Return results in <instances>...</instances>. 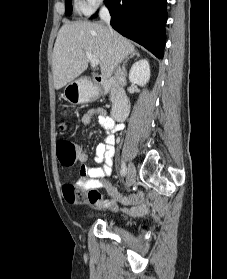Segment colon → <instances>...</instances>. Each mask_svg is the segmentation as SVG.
I'll list each match as a JSON object with an SVG mask.
<instances>
[{"instance_id": "5ec220e1", "label": "colon", "mask_w": 227, "mask_h": 279, "mask_svg": "<svg viewBox=\"0 0 227 279\" xmlns=\"http://www.w3.org/2000/svg\"><path fill=\"white\" fill-rule=\"evenodd\" d=\"M67 116H68V111L66 108L62 110L58 115V119L60 122L58 126V131L61 133L64 131L63 123L66 121ZM78 155H79L78 146L68 138L61 136L57 142V157L61 165L64 167L72 166L77 160ZM66 188L74 189L72 184H68ZM99 195H100L99 192L91 191L88 194V198L89 199L98 198Z\"/></svg>"}]
</instances>
